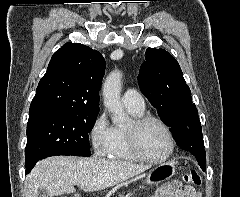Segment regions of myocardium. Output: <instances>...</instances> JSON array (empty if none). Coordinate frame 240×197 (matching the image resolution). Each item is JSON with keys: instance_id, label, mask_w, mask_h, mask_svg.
Returning <instances> with one entry per match:
<instances>
[{"instance_id": "myocardium-1", "label": "myocardium", "mask_w": 240, "mask_h": 197, "mask_svg": "<svg viewBox=\"0 0 240 197\" xmlns=\"http://www.w3.org/2000/svg\"><path fill=\"white\" fill-rule=\"evenodd\" d=\"M150 122H156L161 125L166 131L169 139V151L167 154L161 158H151L149 157L142 149L140 144V132L142 128ZM127 142L132 153L141 161L150 163V164H161L169 160L174 152L176 147V141L171 127L160 117L154 115H142L134 118L131 124L126 128Z\"/></svg>"}]
</instances>
